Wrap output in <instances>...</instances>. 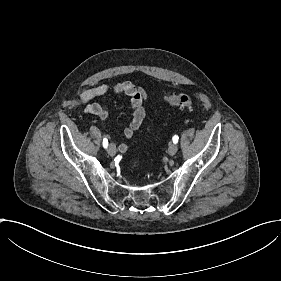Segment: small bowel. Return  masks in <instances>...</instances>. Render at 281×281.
Segmentation results:
<instances>
[{"label":"small bowel","instance_id":"obj_1","mask_svg":"<svg viewBox=\"0 0 281 281\" xmlns=\"http://www.w3.org/2000/svg\"><path fill=\"white\" fill-rule=\"evenodd\" d=\"M110 91L107 84L97 85L95 87L84 89L81 93L80 99L86 113L95 115L103 121H107L110 117V111L98 103H90V101L97 97L105 96ZM114 94H121L128 97L130 106L133 110V116L130 126L124 130V136L128 139L133 137L134 131L137 130L145 117V95L141 87H138L131 82H120L114 85L112 89ZM120 151H125L127 145L122 143L119 145Z\"/></svg>","mask_w":281,"mask_h":281}]
</instances>
